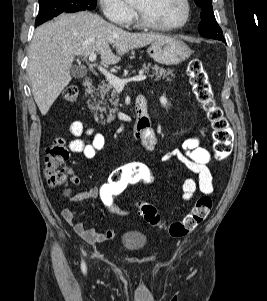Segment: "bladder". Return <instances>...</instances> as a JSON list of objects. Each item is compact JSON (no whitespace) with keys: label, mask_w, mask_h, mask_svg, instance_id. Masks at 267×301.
Wrapping results in <instances>:
<instances>
[{"label":"bladder","mask_w":267,"mask_h":301,"mask_svg":"<svg viewBox=\"0 0 267 301\" xmlns=\"http://www.w3.org/2000/svg\"><path fill=\"white\" fill-rule=\"evenodd\" d=\"M147 243V236L138 230L125 231L120 237L121 246L130 251L143 250L147 246Z\"/></svg>","instance_id":"obj_1"}]
</instances>
